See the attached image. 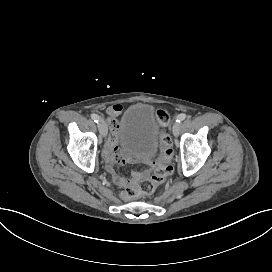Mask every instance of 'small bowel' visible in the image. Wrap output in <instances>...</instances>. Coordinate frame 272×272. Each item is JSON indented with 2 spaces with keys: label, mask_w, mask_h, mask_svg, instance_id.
Masks as SVG:
<instances>
[{
  "label": "small bowel",
  "mask_w": 272,
  "mask_h": 272,
  "mask_svg": "<svg viewBox=\"0 0 272 272\" xmlns=\"http://www.w3.org/2000/svg\"><path fill=\"white\" fill-rule=\"evenodd\" d=\"M121 111H122V106L118 104L110 106L106 109V120L109 126L110 135L107 140L105 150L103 151V158L105 160V168L107 172H109L108 162L113 157H120L126 160L128 163L134 160L119 152L120 123L117 119V116L121 113ZM111 175L113 177L114 182L118 184L119 176H116L113 174Z\"/></svg>",
  "instance_id": "1"
}]
</instances>
